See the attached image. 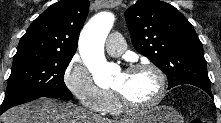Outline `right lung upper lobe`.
Wrapping results in <instances>:
<instances>
[{"label": "right lung upper lobe", "instance_id": "cb5924a9", "mask_svg": "<svg viewBox=\"0 0 221 123\" xmlns=\"http://www.w3.org/2000/svg\"><path fill=\"white\" fill-rule=\"evenodd\" d=\"M89 0L58 1L35 19L20 39L17 51L38 50L75 54Z\"/></svg>", "mask_w": 221, "mask_h": 123}]
</instances>
